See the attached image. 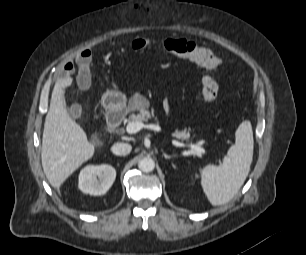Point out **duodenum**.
I'll return each mask as SVG.
<instances>
[{
    "label": "duodenum",
    "instance_id": "obj_1",
    "mask_svg": "<svg viewBox=\"0 0 306 255\" xmlns=\"http://www.w3.org/2000/svg\"><path fill=\"white\" fill-rule=\"evenodd\" d=\"M125 111V106H121L118 108H112L107 112L106 119L111 132H114L120 126L125 116Z\"/></svg>",
    "mask_w": 306,
    "mask_h": 255
}]
</instances>
